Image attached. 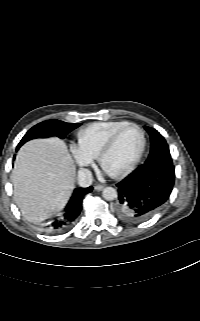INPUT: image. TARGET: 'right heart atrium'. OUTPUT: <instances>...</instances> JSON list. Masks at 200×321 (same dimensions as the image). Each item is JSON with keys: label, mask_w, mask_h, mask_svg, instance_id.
Segmentation results:
<instances>
[{"label": "right heart atrium", "mask_w": 200, "mask_h": 321, "mask_svg": "<svg viewBox=\"0 0 200 321\" xmlns=\"http://www.w3.org/2000/svg\"><path fill=\"white\" fill-rule=\"evenodd\" d=\"M71 154L77 163V165L81 168L84 169L87 166H89L94 157L86 153L79 145L77 144H72L70 147Z\"/></svg>", "instance_id": "right-heart-atrium-1"}]
</instances>
